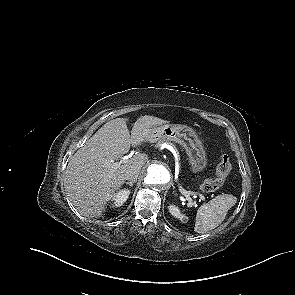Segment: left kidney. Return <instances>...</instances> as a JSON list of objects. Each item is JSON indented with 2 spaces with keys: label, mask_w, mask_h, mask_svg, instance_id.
I'll use <instances>...</instances> for the list:
<instances>
[{
  "label": "left kidney",
  "mask_w": 295,
  "mask_h": 295,
  "mask_svg": "<svg viewBox=\"0 0 295 295\" xmlns=\"http://www.w3.org/2000/svg\"><path fill=\"white\" fill-rule=\"evenodd\" d=\"M168 209L172 216H174L175 218H179L181 221H187V217L181 214L179 208L175 205L168 206Z\"/></svg>",
  "instance_id": "5707ae66"
}]
</instances>
